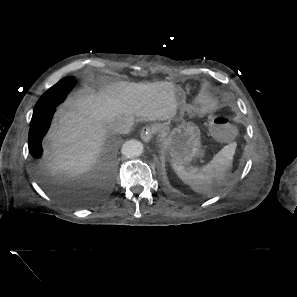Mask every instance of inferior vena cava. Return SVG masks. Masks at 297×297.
Returning a JSON list of instances; mask_svg holds the SVG:
<instances>
[{"instance_id":"1","label":"inferior vena cava","mask_w":297,"mask_h":297,"mask_svg":"<svg viewBox=\"0 0 297 297\" xmlns=\"http://www.w3.org/2000/svg\"><path fill=\"white\" fill-rule=\"evenodd\" d=\"M133 120L129 118L120 119L111 125V129L119 134H128L131 131Z\"/></svg>"}]
</instances>
